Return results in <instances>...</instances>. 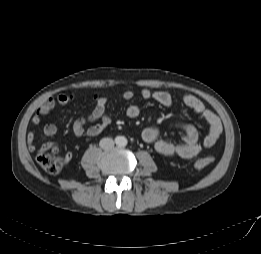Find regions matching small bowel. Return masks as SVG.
<instances>
[{"label":"small bowel","mask_w":261,"mask_h":254,"mask_svg":"<svg viewBox=\"0 0 261 254\" xmlns=\"http://www.w3.org/2000/svg\"><path fill=\"white\" fill-rule=\"evenodd\" d=\"M135 97L132 90H126L122 94L125 101H131ZM141 99L148 101L154 100L164 107L170 108L173 105L172 96L164 91H151L142 89ZM94 108L86 116L76 119L72 125V130L77 137H94L99 135L109 124L110 117L106 113L108 99L101 94H94ZM75 101V97L69 94H60L57 97H49L36 110L32 118L33 128L28 132L27 143L29 150L35 149L34 128L41 124L42 118L47 116L57 105H67ZM183 104L196 114H198L207 124V133L200 140L197 128L191 123H175V126L184 132L182 141L175 142L168 138H161L160 131L156 127H146L141 133L142 140L149 144H154L155 150L163 156H178L185 159H191L197 156L203 149L211 148L219 140L222 134V124L219 118L206 106L201 100L191 94H185L182 97ZM140 107L131 104L126 109V115L129 118H137L140 115ZM98 121H101L98 123ZM88 124H91L87 127ZM43 131L47 136H53L57 133V126L53 122H47ZM70 154H66L65 161L69 162Z\"/></svg>","instance_id":"obj_1"}]
</instances>
